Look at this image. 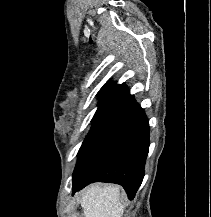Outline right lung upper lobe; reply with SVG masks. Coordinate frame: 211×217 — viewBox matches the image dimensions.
Instances as JSON below:
<instances>
[{"mask_svg": "<svg viewBox=\"0 0 211 217\" xmlns=\"http://www.w3.org/2000/svg\"><path fill=\"white\" fill-rule=\"evenodd\" d=\"M99 105L94 118L116 119L136 105L126 85L106 83L99 92Z\"/></svg>", "mask_w": 211, "mask_h": 217, "instance_id": "right-lung-upper-lobe-1", "label": "right lung upper lobe"}]
</instances>
